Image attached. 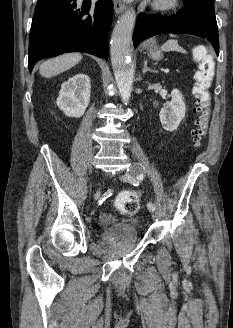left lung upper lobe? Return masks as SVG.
I'll return each instance as SVG.
<instances>
[{
    "mask_svg": "<svg viewBox=\"0 0 233 328\" xmlns=\"http://www.w3.org/2000/svg\"><path fill=\"white\" fill-rule=\"evenodd\" d=\"M201 2H204L205 4L214 7L213 0H198Z\"/></svg>",
    "mask_w": 233,
    "mask_h": 328,
    "instance_id": "1",
    "label": "left lung upper lobe"
}]
</instances>
